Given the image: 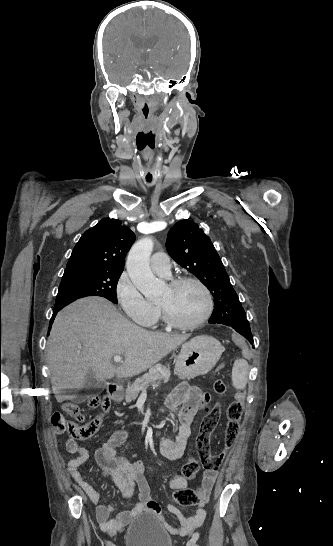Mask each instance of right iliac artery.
Here are the masks:
<instances>
[{"instance_id":"obj_1","label":"right iliac artery","mask_w":333,"mask_h":546,"mask_svg":"<svg viewBox=\"0 0 333 546\" xmlns=\"http://www.w3.org/2000/svg\"><path fill=\"white\" fill-rule=\"evenodd\" d=\"M107 546H111V543H108V545H107Z\"/></svg>"}]
</instances>
